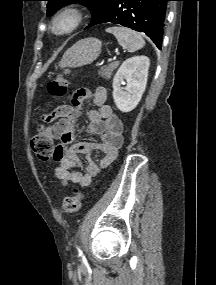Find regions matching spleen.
<instances>
[{
  "instance_id": "spleen-1",
  "label": "spleen",
  "mask_w": 216,
  "mask_h": 285,
  "mask_svg": "<svg viewBox=\"0 0 216 285\" xmlns=\"http://www.w3.org/2000/svg\"><path fill=\"white\" fill-rule=\"evenodd\" d=\"M106 32L112 33L123 49H126L128 52H135L145 45L142 36L131 29L124 27H110L106 29Z\"/></svg>"
}]
</instances>
